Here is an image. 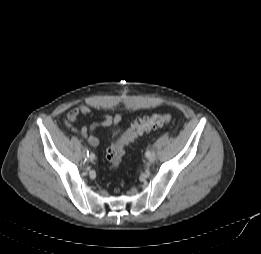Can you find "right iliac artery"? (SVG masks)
<instances>
[{
	"label": "right iliac artery",
	"instance_id": "right-iliac-artery-1",
	"mask_svg": "<svg viewBox=\"0 0 261 254\" xmlns=\"http://www.w3.org/2000/svg\"><path fill=\"white\" fill-rule=\"evenodd\" d=\"M85 153L87 154V156H88L90 159H94V158H95L94 153H91V152H89L88 150H87V151L85 150Z\"/></svg>",
	"mask_w": 261,
	"mask_h": 254
}]
</instances>
